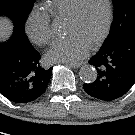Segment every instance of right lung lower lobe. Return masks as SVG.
<instances>
[{
	"label": "right lung lower lobe",
	"mask_w": 135,
	"mask_h": 135,
	"mask_svg": "<svg viewBox=\"0 0 135 135\" xmlns=\"http://www.w3.org/2000/svg\"><path fill=\"white\" fill-rule=\"evenodd\" d=\"M40 57L25 32L15 29L8 42L0 43V93L15 103L39 98L52 75V68L41 67Z\"/></svg>",
	"instance_id": "right-lung-lower-lobe-1"
}]
</instances>
